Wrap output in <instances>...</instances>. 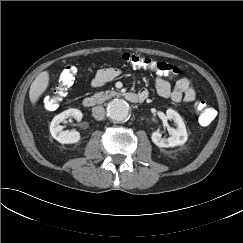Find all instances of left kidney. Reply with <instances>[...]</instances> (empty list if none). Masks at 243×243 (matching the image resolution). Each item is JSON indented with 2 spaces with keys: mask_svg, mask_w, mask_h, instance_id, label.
<instances>
[{
  "mask_svg": "<svg viewBox=\"0 0 243 243\" xmlns=\"http://www.w3.org/2000/svg\"><path fill=\"white\" fill-rule=\"evenodd\" d=\"M166 117L167 119L173 120L176 123L177 128H171L169 130L170 137L168 138H163L161 133L158 131L153 132L151 136L153 143L158 147H175L183 145L188 139L183 119L173 109H168L166 111Z\"/></svg>",
  "mask_w": 243,
  "mask_h": 243,
  "instance_id": "left-kidney-1",
  "label": "left kidney"
}]
</instances>
